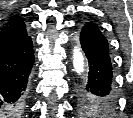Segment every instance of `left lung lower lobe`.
I'll return each instance as SVG.
<instances>
[{
	"instance_id": "0a47b994",
	"label": "left lung lower lobe",
	"mask_w": 133,
	"mask_h": 118,
	"mask_svg": "<svg viewBox=\"0 0 133 118\" xmlns=\"http://www.w3.org/2000/svg\"><path fill=\"white\" fill-rule=\"evenodd\" d=\"M78 38L89 65L88 77L82 87L98 98L115 101L112 60L106 37L96 25L86 24ZM101 113H105L104 109Z\"/></svg>"
}]
</instances>
